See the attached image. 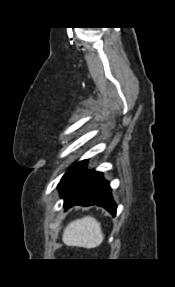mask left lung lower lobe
I'll return each instance as SVG.
<instances>
[{
	"instance_id": "obj_1",
	"label": "left lung lower lobe",
	"mask_w": 175,
	"mask_h": 287,
	"mask_svg": "<svg viewBox=\"0 0 175 287\" xmlns=\"http://www.w3.org/2000/svg\"><path fill=\"white\" fill-rule=\"evenodd\" d=\"M65 209L75 205L104 207L113 216L117 206L111 196L108 182L103 180V174L95 170H87L64 194Z\"/></svg>"
}]
</instances>
